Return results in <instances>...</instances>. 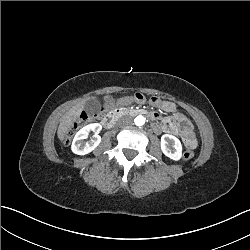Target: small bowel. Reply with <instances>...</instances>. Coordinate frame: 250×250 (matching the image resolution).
I'll return each mask as SVG.
<instances>
[{
	"instance_id": "obj_1",
	"label": "small bowel",
	"mask_w": 250,
	"mask_h": 250,
	"mask_svg": "<svg viewBox=\"0 0 250 250\" xmlns=\"http://www.w3.org/2000/svg\"><path fill=\"white\" fill-rule=\"evenodd\" d=\"M133 100L132 97H120V98H113L111 96H106L104 99V105L107 108H113L115 106H119V105H128L131 101ZM158 104L159 107H161L162 109H164L165 111H175L176 107L175 104H173L172 102L169 101H159L157 100V102H155ZM178 119L182 122V125H171V126H166L165 124H161L159 122H156L153 125V129L156 132H161L162 130L166 129V128H174L176 130H179L180 134L184 135V137L187 139L188 137H191L193 139H195V135L193 133V128L191 123L181 114H177ZM196 140V139H195Z\"/></svg>"
}]
</instances>
